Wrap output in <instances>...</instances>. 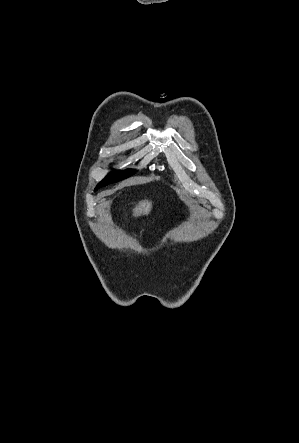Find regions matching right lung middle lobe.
Wrapping results in <instances>:
<instances>
[{"instance_id":"dd1d6c3e","label":"right lung middle lobe","mask_w":299,"mask_h":443,"mask_svg":"<svg viewBox=\"0 0 299 443\" xmlns=\"http://www.w3.org/2000/svg\"><path fill=\"white\" fill-rule=\"evenodd\" d=\"M132 174H134V171H132V170L119 171L118 173L112 172L103 181H101L97 187L98 188L103 187V186L108 185L110 183H114V182L123 180V179L131 176Z\"/></svg>"}]
</instances>
